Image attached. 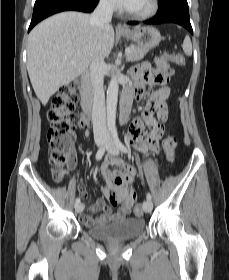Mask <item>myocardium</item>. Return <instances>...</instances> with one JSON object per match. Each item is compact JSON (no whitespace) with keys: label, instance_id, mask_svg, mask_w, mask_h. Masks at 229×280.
<instances>
[{"label":"myocardium","instance_id":"myocardium-1","mask_svg":"<svg viewBox=\"0 0 229 280\" xmlns=\"http://www.w3.org/2000/svg\"><path fill=\"white\" fill-rule=\"evenodd\" d=\"M159 10V1L158 0H149L148 7L143 11H132L127 8H124L123 11L130 17L137 20H146L153 17Z\"/></svg>","mask_w":229,"mask_h":280}]
</instances>
